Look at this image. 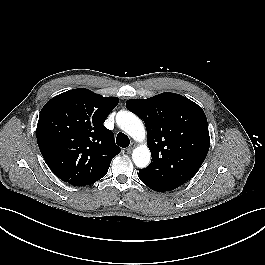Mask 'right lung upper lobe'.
<instances>
[{
    "label": "right lung upper lobe",
    "instance_id": "obj_1",
    "mask_svg": "<svg viewBox=\"0 0 265 265\" xmlns=\"http://www.w3.org/2000/svg\"><path fill=\"white\" fill-rule=\"evenodd\" d=\"M118 102L117 97L78 88L44 105L37 124V143L58 178L74 186H86L106 175L120 148L103 123Z\"/></svg>",
    "mask_w": 265,
    "mask_h": 265
}]
</instances>
